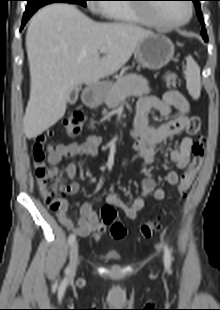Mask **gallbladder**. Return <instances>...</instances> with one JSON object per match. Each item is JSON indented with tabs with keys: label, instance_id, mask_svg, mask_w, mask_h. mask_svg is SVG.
I'll return each instance as SVG.
<instances>
[{
	"label": "gallbladder",
	"instance_id": "obj_1",
	"mask_svg": "<svg viewBox=\"0 0 220 310\" xmlns=\"http://www.w3.org/2000/svg\"><path fill=\"white\" fill-rule=\"evenodd\" d=\"M78 93H79V89L78 87H75L72 92L70 93V97H69V100H68V103L70 105H74L78 99Z\"/></svg>",
	"mask_w": 220,
	"mask_h": 310
}]
</instances>
